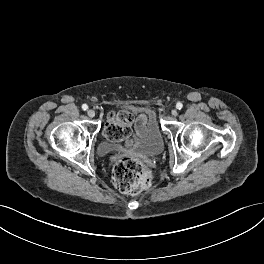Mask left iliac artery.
Here are the masks:
<instances>
[{
  "mask_svg": "<svg viewBox=\"0 0 264 264\" xmlns=\"http://www.w3.org/2000/svg\"><path fill=\"white\" fill-rule=\"evenodd\" d=\"M182 107H183V104L182 103H180V102H178L177 104H176V108L177 109H182Z\"/></svg>",
  "mask_w": 264,
  "mask_h": 264,
  "instance_id": "left-iliac-artery-1",
  "label": "left iliac artery"
}]
</instances>
